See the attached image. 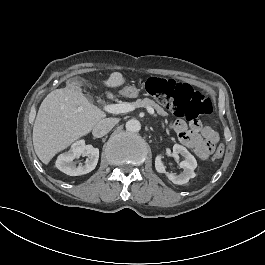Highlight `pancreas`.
<instances>
[{
	"instance_id": "obj_1",
	"label": "pancreas",
	"mask_w": 265,
	"mask_h": 265,
	"mask_svg": "<svg viewBox=\"0 0 265 265\" xmlns=\"http://www.w3.org/2000/svg\"><path fill=\"white\" fill-rule=\"evenodd\" d=\"M132 105L134 108H152L156 110L159 116H167V113L164 111V109L159 106L154 100H151L149 98L139 99Z\"/></svg>"
}]
</instances>
